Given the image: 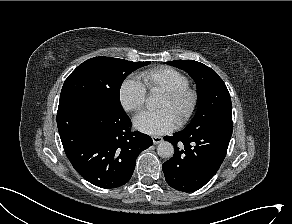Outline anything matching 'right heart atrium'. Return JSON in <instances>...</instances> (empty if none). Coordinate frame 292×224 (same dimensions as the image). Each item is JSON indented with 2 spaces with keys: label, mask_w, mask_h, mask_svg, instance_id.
<instances>
[{
  "label": "right heart atrium",
  "mask_w": 292,
  "mask_h": 224,
  "mask_svg": "<svg viewBox=\"0 0 292 224\" xmlns=\"http://www.w3.org/2000/svg\"><path fill=\"white\" fill-rule=\"evenodd\" d=\"M118 96L124 110L139 111L146 101V88L137 79L127 78L121 83Z\"/></svg>",
  "instance_id": "d8ad5b80"
}]
</instances>
